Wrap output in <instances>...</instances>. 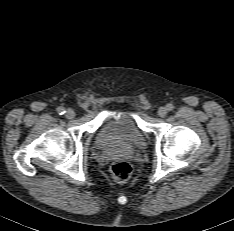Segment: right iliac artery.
I'll return each mask as SVG.
<instances>
[{
    "mask_svg": "<svg viewBox=\"0 0 234 231\" xmlns=\"http://www.w3.org/2000/svg\"><path fill=\"white\" fill-rule=\"evenodd\" d=\"M57 112L59 115H63L65 113V109L63 107H58Z\"/></svg>",
    "mask_w": 234,
    "mask_h": 231,
    "instance_id": "82829eb1",
    "label": "right iliac artery"
}]
</instances>
